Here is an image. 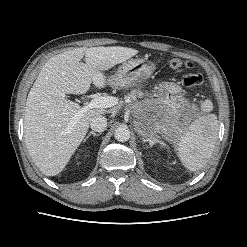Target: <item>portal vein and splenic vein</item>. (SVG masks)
I'll return each instance as SVG.
<instances>
[{"mask_svg": "<svg viewBox=\"0 0 247 247\" xmlns=\"http://www.w3.org/2000/svg\"><path fill=\"white\" fill-rule=\"evenodd\" d=\"M117 99L112 96L94 97L89 104L83 106L74 116L72 123H75L83 113L93 108H109L116 105Z\"/></svg>", "mask_w": 247, "mask_h": 247, "instance_id": "portal-vein-and-splenic-vein-1", "label": "portal vein and splenic vein"}]
</instances>
